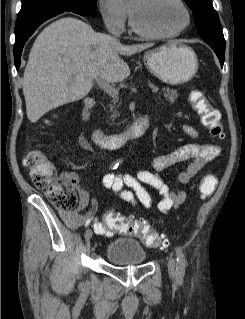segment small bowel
<instances>
[{"mask_svg": "<svg viewBox=\"0 0 245 319\" xmlns=\"http://www.w3.org/2000/svg\"><path fill=\"white\" fill-rule=\"evenodd\" d=\"M183 128L191 138L197 137V131L193 127L184 125ZM220 152L221 149L214 144H183L171 153L152 158V170H138L134 174H108L103 177V185L131 207L142 206L145 209H151L153 202L143 187V185H148L163 196L157 208L161 213H167L184 203L186 193L183 190L171 189L159 173L179 162L187 161L188 165L184 171L179 173L178 181L184 185L188 184L197 173L219 156ZM69 175L72 186L78 192L79 205L73 212L59 211L60 218L70 228L77 229L90 226L96 234L112 237L114 232L96 216V201H92L91 209L84 212V209L90 203L89 193L80 185L76 174L71 173Z\"/></svg>", "mask_w": 245, "mask_h": 319, "instance_id": "obj_1", "label": "small bowel"}]
</instances>
